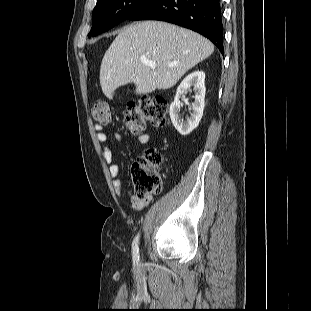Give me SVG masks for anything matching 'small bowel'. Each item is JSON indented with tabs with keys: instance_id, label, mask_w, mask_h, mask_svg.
Returning a JSON list of instances; mask_svg holds the SVG:
<instances>
[{
	"instance_id": "c3829d8e",
	"label": "small bowel",
	"mask_w": 311,
	"mask_h": 311,
	"mask_svg": "<svg viewBox=\"0 0 311 311\" xmlns=\"http://www.w3.org/2000/svg\"><path fill=\"white\" fill-rule=\"evenodd\" d=\"M94 130H95V136H96L97 141L102 144V156L108 166V171L113 181V186H114V189L117 195L127 196L130 199L131 206L134 210L140 211L144 209L151 202L152 196L151 195L138 196L136 194H132L131 192H129L123 187L120 176H119L120 174L119 165L114 162L113 152L111 148L106 144L107 136L105 132L103 131L102 126L99 124H95ZM114 139L116 142H121L123 138H122V135L117 132L114 134ZM137 140L141 145H145L149 142V135L140 134L137 137Z\"/></svg>"
}]
</instances>
